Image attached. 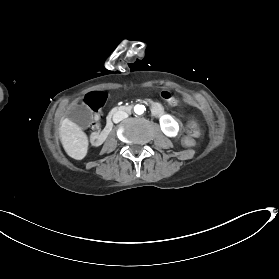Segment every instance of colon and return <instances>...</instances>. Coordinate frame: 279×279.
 Instances as JSON below:
<instances>
[{"instance_id": "5ec220e1", "label": "colon", "mask_w": 279, "mask_h": 279, "mask_svg": "<svg viewBox=\"0 0 279 279\" xmlns=\"http://www.w3.org/2000/svg\"><path fill=\"white\" fill-rule=\"evenodd\" d=\"M92 127L95 129L98 127V117L95 118L94 122L92 123ZM187 132L192 137H198L200 135V128L197 122L193 119H190L186 126Z\"/></svg>"}]
</instances>
